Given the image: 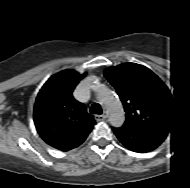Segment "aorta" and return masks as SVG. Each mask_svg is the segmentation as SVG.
Returning a JSON list of instances; mask_svg holds the SVG:
<instances>
[{"label":"aorta","mask_w":190,"mask_h":188,"mask_svg":"<svg viewBox=\"0 0 190 188\" xmlns=\"http://www.w3.org/2000/svg\"><path fill=\"white\" fill-rule=\"evenodd\" d=\"M99 102L106 110L109 121L114 126L124 122L125 115L118 97L105 86H102L99 93Z\"/></svg>","instance_id":"aorta-1"}]
</instances>
